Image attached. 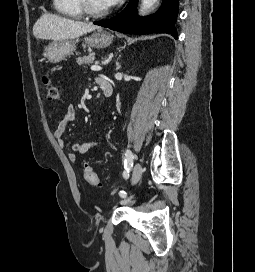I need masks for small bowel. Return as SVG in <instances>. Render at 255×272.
Masks as SVG:
<instances>
[{"label":"small bowel","mask_w":255,"mask_h":272,"mask_svg":"<svg viewBox=\"0 0 255 272\" xmlns=\"http://www.w3.org/2000/svg\"><path fill=\"white\" fill-rule=\"evenodd\" d=\"M76 116H77L76 108L73 105L68 106L64 117L59 121L56 129L53 132L55 139L58 141L61 147L65 146V142L62 139V135L65 132L66 128L75 121ZM99 118L104 119V114L102 112L100 113ZM101 142L102 140L100 138H97L91 141L73 143L70 146L68 159L71 162H76L78 156L83 155L90 151L91 149L98 147L101 144Z\"/></svg>","instance_id":"obj_1"}]
</instances>
